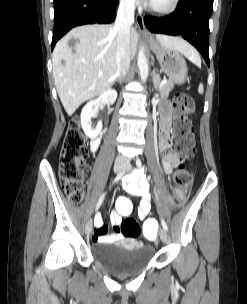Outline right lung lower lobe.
<instances>
[{"mask_svg":"<svg viewBox=\"0 0 247 304\" xmlns=\"http://www.w3.org/2000/svg\"><path fill=\"white\" fill-rule=\"evenodd\" d=\"M119 0H54L51 49L71 28L83 24L111 23Z\"/></svg>","mask_w":247,"mask_h":304,"instance_id":"98d812e1","label":"right lung lower lobe"}]
</instances>
